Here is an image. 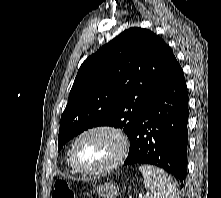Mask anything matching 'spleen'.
I'll list each match as a JSON object with an SVG mask.
<instances>
[{
    "mask_svg": "<svg viewBox=\"0 0 221 198\" xmlns=\"http://www.w3.org/2000/svg\"><path fill=\"white\" fill-rule=\"evenodd\" d=\"M146 198H179L176 182L165 171L152 165H141Z\"/></svg>",
    "mask_w": 221,
    "mask_h": 198,
    "instance_id": "3e777b00",
    "label": "spleen"
}]
</instances>
